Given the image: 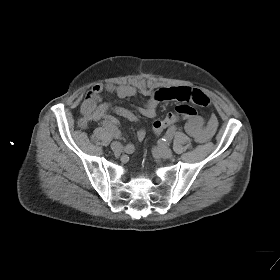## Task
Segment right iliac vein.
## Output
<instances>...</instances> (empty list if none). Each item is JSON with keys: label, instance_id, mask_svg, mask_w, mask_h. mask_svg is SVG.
Listing matches in <instances>:
<instances>
[{"label": "right iliac vein", "instance_id": "obj_1", "mask_svg": "<svg viewBox=\"0 0 280 280\" xmlns=\"http://www.w3.org/2000/svg\"><path fill=\"white\" fill-rule=\"evenodd\" d=\"M122 145H121V143H119V142H113L112 144H111V149H112V151H114V152H121V150H122Z\"/></svg>", "mask_w": 280, "mask_h": 280}]
</instances>
